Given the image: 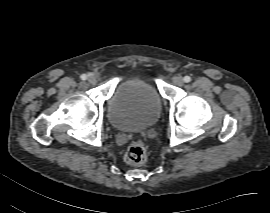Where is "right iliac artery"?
<instances>
[{"label":"right iliac artery","mask_w":270,"mask_h":213,"mask_svg":"<svg viewBox=\"0 0 270 213\" xmlns=\"http://www.w3.org/2000/svg\"><path fill=\"white\" fill-rule=\"evenodd\" d=\"M80 78H81L82 80H86V79H87V75L82 74Z\"/></svg>","instance_id":"obj_1"}]
</instances>
